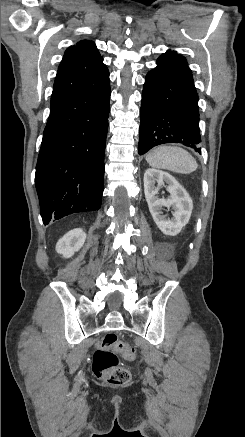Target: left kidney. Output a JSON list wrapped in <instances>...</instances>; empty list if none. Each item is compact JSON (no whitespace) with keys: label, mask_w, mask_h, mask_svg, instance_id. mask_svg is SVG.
Returning a JSON list of instances; mask_svg holds the SVG:
<instances>
[{"label":"left kidney","mask_w":245,"mask_h":437,"mask_svg":"<svg viewBox=\"0 0 245 437\" xmlns=\"http://www.w3.org/2000/svg\"><path fill=\"white\" fill-rule=\"evenodd\" d=\"M165 183L170 196L161 199L158 197V191ZM144 193L157 227L165 235H178L189 222L193 210V202L187 191L169 173L149 168L144 174ZM163 207H172L174 210L172 218L162 214Z\"/></svg>","instance_id":"5707ae66"}]
</instances>
